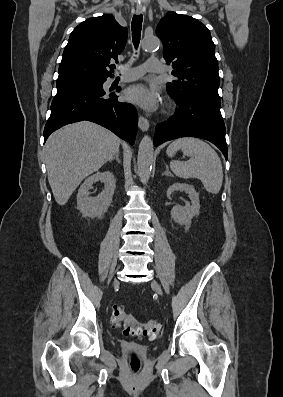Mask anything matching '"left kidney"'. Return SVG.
Masks as SVG:
<instances>
[{
  "label": "left kidney",
  "instance_id": "obj_1",
  "mask_svg": "<svg viewBox=\"0 0 283 397\" xmlns=\"http://www.w3.org/2000/svg\"><path fill=\"white\" fill-rule=\"evenodd\" d=\"M174 191H184L187 193L191 200V204L187 203L185 207L179 205L174 206L171 210V217L178 224L190 225L192 218L199 214V194L195 191L194 187L189 184L175 183L167 190V197L169 199Z\"/></svg>",
  "mask_w": 283,
  "mask_h": 397
}]
</instances>
